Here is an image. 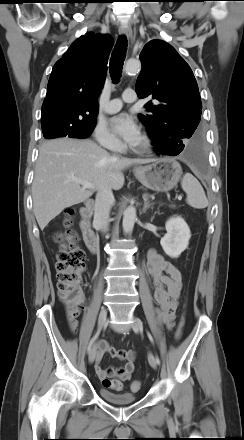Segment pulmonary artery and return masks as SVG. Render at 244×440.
Instances as JSON below:
<instances>
[{
  "mask_svg": "<svg viewBox=\"0 0 244 440\" xmlns=\"http://www.w3.org/2000/svg\"><path fill=\"white\" fill-rule=\"evenodd\" d=\"M135 101H136V92L134 90L128 89L123 92L122 99H113L109 101L105 105L104 110L110 114L116 113L122 108L123 102L132 103Z\"/></svg>",
  "mask_w": 244,
  "mask_h": 440,
  "instance_id": "obj_1",
  "label": "pulmonary artery"
}]
</instances>
